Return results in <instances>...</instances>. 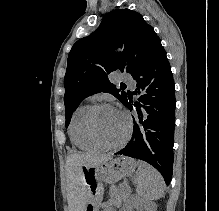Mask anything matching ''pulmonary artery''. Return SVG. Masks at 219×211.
Listing matches in <instances>:
<instances>
[{
  "label": "pulmonary artery",
  "mask_w": 219,
  "mask_h": 211,
  "mask_svg": "<svg viewBox=\"0 0 219 211\" xmlns=\"http://www.w3.org/2000/svg\"><path fill=\"white\" fill-rule=\"evenodd\" d=\"M120 79H121V80H128V79H129V76H128V75H121V76H120Z\"/></svg>",
  "instance_id": "1"
}]
</instances>
